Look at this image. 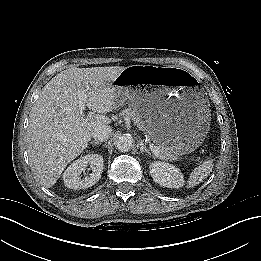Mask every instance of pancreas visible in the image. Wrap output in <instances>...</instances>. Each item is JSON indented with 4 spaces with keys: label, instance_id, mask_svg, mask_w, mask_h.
<instances>
[{
    "label": "pancreas",
    "instance_id": "1",
    "mask_svg": "<svg viewBox=\"0 0 261 261\" xmlns=\"http://www.w3.org/2000/svg\"><path fill=\"white\" fill-rule=\"evenodd\" d=\"M120 115L130 117L134 121V123L140 129L144 130L147 133V135L150 137L149 132H147L146 129H145L144 122L141 120V115L137 110L127 108V109L123 110L120 113ZM154 144L158 148V150L160 151L161 155L164 158L170 159V160H176L177 159V154L174 152V150L170 146L164 145V144L159 143V142H154Z\"/></svg>",
    "mask_w": 261,
    "mask_h": 261
}]
</instances>
